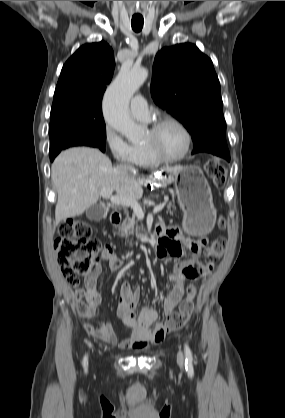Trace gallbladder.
<instances>
[{"mask_svg":"<svg viewBox=\"0 0 285 418\" xmlns=\"http://www.w3.org/2000/svg\"><path fill=\"white\" fill-rule=\"evenodd\" d=\"M107 215L106 209L103 205L96 203L86 210V217L90 221H100Z\"/></svg>","mask_w":285,"mask_h":418,"instance_id":"obj_1","label":"gallbladder"}]
</instances>
